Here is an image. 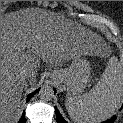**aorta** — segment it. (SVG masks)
<instances>
[{"instance_id": "1", "label": "aorta", "mask_w": 123, "mask_h": 123, "mask_svg": "<svg viewBox=\"0 0 123 123\" xmlns=\"http://www.w3.org/2000/svg\"><path fill=\"white\" fill-rule=\"evenodd\" d=\"M39 97L42 101H50L54 97V90L50 86H43L39 91Z\"/></svg>"}]
</instances>
